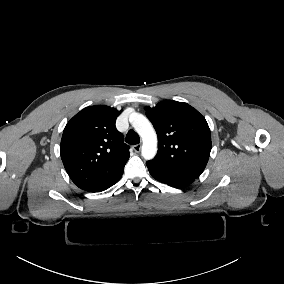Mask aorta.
<instances>
[{
    "instance_id": "762f6f07",
    "label": "aorta",
    "mask_w": 284,
    "mask_h": 284,
    "mask_svg": "<svg viewBox=\"0 0 284 284\" xmlns=\"http://www.w3.org/2000/svg\"><path fill=\"white\" fill-rule=\"evenodd\" d=\"M130 122L136 132L141 136L142 156L146 160L153 159L157 152V135L150 121L142 114L134 113Z\"/></svg>"
}]
</instances>
